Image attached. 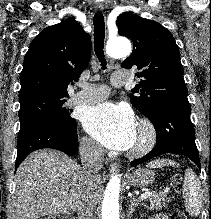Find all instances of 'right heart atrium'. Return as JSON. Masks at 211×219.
<instances>
[{
  "instance_id": "obj_1",
  "label": "right heart atrium",
  "mask_w": 211,
  "mask_h": 219,
  "mask_svg": "<svg viewBox=\"0 0 211 219\" xmlns=\"http://www.w3.org/2000/svg\"><path fill=\"white\" fill-rule=\"evenodd\" d=\"M80 148L90 155H98L101 152L99 144L88 136H83L80 139Z\"/></svg>"
}]
</instances>
